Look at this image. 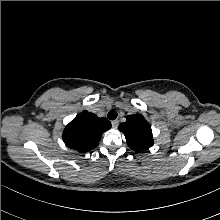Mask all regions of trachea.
I'll return each instance as SVG.
<instances>
[{
    "label": "trachea",
    "mask_w": 220,
    "mask_h": 220,
    "mask_svg": "<svg viewBox=\"0 0 220 220\" xmlns=\"http://www.w3.org/2000/svg\"><path fill=\"white\" fill-rule=\"evenodd\" d=\"M117 116H118V114L114 110L109 111L108 115H107L108 119H110V120H115L117 118Z\"/></svg>",
    "instance_id": "1"
}]
</instances>
